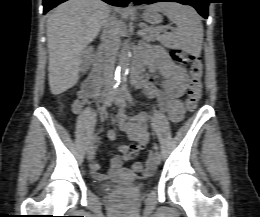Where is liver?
Wrapping results in <instances>:
<instances>
[{
	"instance_id": "obj_1",
	"label": "liver",
	"mask_w": 260,
	"mask_h": 217,
	"mask_svg": "<svg viewBox=\"0 0 260 217\" xmlns=\"http://www.w3.org/2000/svg\"><path fill=\"white\" fill-rule=\"evenodd\" d=\"M110 11L101 0H68L48 14V78L53 95L78 82L82 53L97 37Z\"/></svg>"
}]
</instances>
